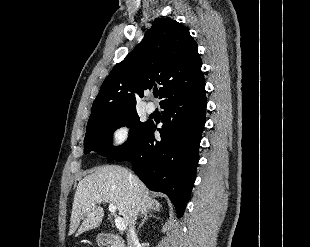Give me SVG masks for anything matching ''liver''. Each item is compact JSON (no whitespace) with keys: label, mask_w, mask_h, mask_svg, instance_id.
Listing matches in <instances>:
<instances>
[{"label":"liver","mask_w":310,"mask_h":247,"mask_svg":"<svg viewBox=\"0 0 310 247\" xmlns=\"http://www.w3.org/2000/svg\"><path fill=\"white\" fill-rule=\"evenodd\" d=\"M130 174L121 166L105 165L80 180L74 196L69 235L77 230V237L97 228L104 216L101 203L116 205L125 229L131 227L138 215L145 216L150 210L159 211L161 205L150 197L148 188L136 176L130 180Z\"/></svg>","instance_id":"liver-1"}]
</instances>
